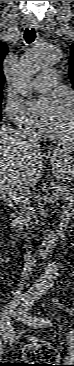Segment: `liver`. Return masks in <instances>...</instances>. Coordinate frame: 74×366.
I'll return each instance as SVG.
<instances>
[{
  "mask_svg": "<svg viewBox=\"0 0 74 366\" xmlns=\"http://www.w3.org/2000/svg\"><path fill=\"white\" fill-rule=\"evenodd\" d=\"M21 131L0 126L1 193L16 194L18 190L38 183L44 170L39 147L24 144Z\"/></svg>",
  "mask_w": 74,
  "mask_h": 366,
  "instance_id": "1",
  "label": "liver"
}]
</instances>
